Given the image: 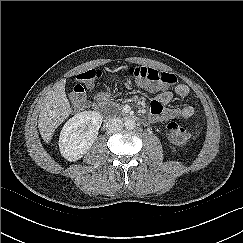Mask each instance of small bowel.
<instances>
[{
  "label": "small bowel",
  "mask_w": 243,
  "mask_h": 243,
  "mask_svg": "<svg viewBox=\"0 0 243 243\" xmlns=\"http://www.w3.org/2000/svg\"><path fill=\"white\" fill-rule=\"evenodd\" d=\"M147 91L155 94L150 105V114L152 120L168 121L174 119H188L193 116L194 108L191 105L181 107H170L173 100V93L168 90H159L155 86L141 84ZM174 92L179 97H186L189 94V88L185 84H179L175 87ZM104 95H98L103 98Z\"/></svg>",
  "instance_id": "small-bowel-1"
}]
</instances>
